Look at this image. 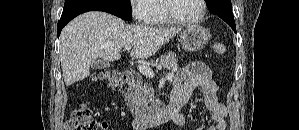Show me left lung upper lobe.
<instances>
[{
  "label": "left lung upper lobe",
  "instance_id": "obj_1",
  "mask_svg": "<svg viewBox=\"0 0 299 130\" xmlns=\"http://www.w3.org/2000/svg\"><path fill=\"white\" fill-rule=\"evenodd\" d=\"M207 3V6H212L214 4H216L215 0H205ZM228 2L229 5H231V0H226Z\"/></svg>",
  "mask_w": 299,
  "mask_h": 130
}]
</instances>
